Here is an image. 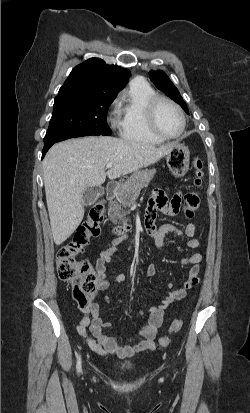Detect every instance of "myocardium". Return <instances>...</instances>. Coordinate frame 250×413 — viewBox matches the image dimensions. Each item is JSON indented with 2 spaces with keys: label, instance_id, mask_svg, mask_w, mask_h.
<instances>
[{
  "label": "myocardium",
  "instance_id": "1",
  "mask_svg": "<svg viewBox=\"0 0 250 413\" xmlns=\"http://www.w3.org/2000/svg\"><path fill=\"white\" fill-rule=\"evenodd\" d=\"M168 103L170 104L172 107H174L176 109V111L179 113L181 121H182V126L180 129V132L176 135H166L164 133H162L158 127H157V123H156V113H157V109L159 107V105L161 103ZM146 121H147V126L149 131L158 139L161 140H174L177 139L179 137H181L185 131L186 128V117L184 114L183 109L172 99L165 97V96H161V95H156L154 96L147 104V108H146Z\"/></svg>",
  "mask_w": 250,
  "mask_h": 413
}]
</instances>
